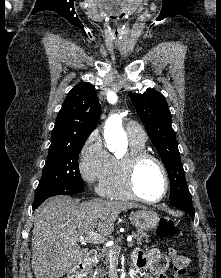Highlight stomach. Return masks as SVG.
Masks as SVG:
<instances>
[{
  "label": "stomach",
  "instance_id": "0dacf381",
  "mask_svg": "<svg viewBox=\"0 0 221 278\" xmlns=\"http://www.w3.org/2000/svg\"><path fill=\"white\" fill-rule=\"evenodd\" d=\"M130 219L132 224L140 232L155 229L160 221L159 215L155 211L149 209H140L131 212Z\"/></svg>",
  "mask_w": 221,
  "mask_h": 278
}]
</instances>
